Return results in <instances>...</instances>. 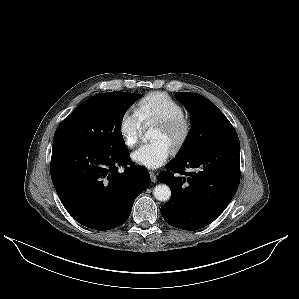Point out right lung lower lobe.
Listing matches in <instances>:
<instances>
[{
  "instance_id": "98d812e1",
  "label": "right lung lower lobe",
  "mask_w": 299,
  "mask_h": 299,
  "mask_svg": "<svg viewBox=\"0 0 299 299\" xmlns=\"http://www.w3.org/2000/svg\"><path fill=\"white\" fill-rule=\"evenodd\" d=\"M50 173L69 214L99 231L123 224L135 198L150 184L148 171L132 164L126 148L109 151L70 140L53 141Z\"/></svg>"
}]
</instances>
